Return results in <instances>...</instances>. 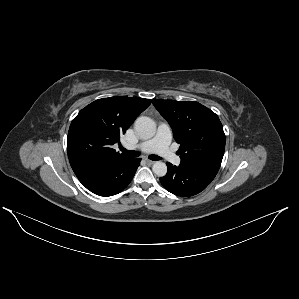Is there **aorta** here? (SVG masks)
Masks as SVG:
<instances>
[{
	"instance_id": "762f6f07",
	"label": "aorta",
	"mask_w": 299,
	"mask_h": 299,
	"mask_svg": "<svg viewBox=\"0 0 299 299\" xmlns=\"http://www.w3.org/2000/svg\"><path fill=\"white\" fill-rule=\"evenodd\" d=\"M134 128L138 136L142 139H150L156 133L155 122L147 116H141L137 118ZM152 171L158 177H163L167 173V165L162 161H157L153 164Z\"/></svg>"
}]
</instances>
